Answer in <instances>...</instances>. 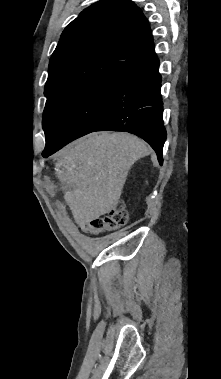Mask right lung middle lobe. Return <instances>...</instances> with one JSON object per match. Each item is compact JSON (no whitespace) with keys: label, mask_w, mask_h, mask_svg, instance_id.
Returning <instances> with one entry per match:
<instances>
[{"label":"right lung middle lobe","mask_w":221,"mask_h":379,"mask_svg":"<svg viewBox=\"0 0 221 379\" xmlns=\"http://www.w3.org/2000/svg\"><path fill=\"white\" fill-rule=\"evenodd\" d=\"M121 77L103 76L47 95L43 113L46 147L74 140L94 129L109 112Z\"/></svg>","instance_id":"1"}]
</instances>
